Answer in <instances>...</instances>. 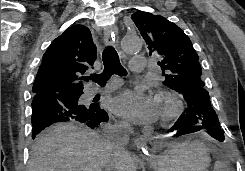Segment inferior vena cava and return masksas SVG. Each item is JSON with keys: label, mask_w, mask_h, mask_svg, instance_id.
I'll list each match as a JSON object with an SVG mask.
<instances>
[{"label": "inferior vena cava", "mask_w": 245, "mask_h": 171, "mask_svg": "<svg viewBox=\"0 0 245 171\" xmlns=\"http://www.w3.org/2000/svg\"><path fill=\"white\" fill-rule=\"evenodd\" d=\"M130 131L131 126L125 122H122L118 125H106L104 127V134L108 138V140L106 141V145L114 152V155L118 158L125 157L128 153L125 150V146L129 142ZM113 169H116L114 164H112L111 162H106L105 171H113Z\"/></svg>", "instance_id": "602c4592"}]
</instances>
